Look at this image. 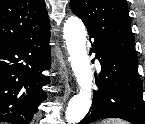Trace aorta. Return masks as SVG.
Instances as JSON below:
<instances>
[{
  "mask_svg": "<svg viewBox=\"0 0 145 124\" xmlns=\"http://www.w3.org/2000/svg\"><path fill=\"white\" fill-rule=\"evenodd\" d=\"M87 31L83 22L75 16L69 17L63 27V37L69 53L71 68L80 87L67 106L65 119L68 124L79 123L88 113L92 100L93 72L86 50Z\"/></svg>",
  "mask_w": 145,
  "mask_h": 124,
  "instance_id": "1",
  "label": "aorta"
}]
</instances>
